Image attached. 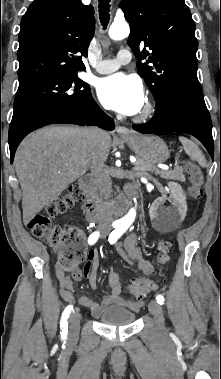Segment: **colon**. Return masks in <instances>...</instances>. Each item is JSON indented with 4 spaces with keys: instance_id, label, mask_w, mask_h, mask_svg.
<instances>
[{
    "instance_id": "obj_1",
    "label": "colon",
    "mask_w": 221,
    "mask_h": 379,
    "mask_svg": "<svg viewBox=\"0 0 221 379\" xmlns=\"http://www.w3.org/2000/svg\"><path fill=\"white\" fill-rule=\"evenodd\" d=\"M184 171L190 182V197L193 200H199L203 195L204 175L202 170L194 163L185 162ZM86 199L85 190L78 184L72 185L66 194L49 204L28 223V228L35 237L47 240L59 249L58 268L63 271L74 270L80 262L88 257L85 237L77 227L53 224L51 218L66 214L77 203H83ZM171 245L172 242L169 238L159 241L156 251L157 259L161 264L168 263ZM157 288L158 282L147 278H136L130 285L132 294L138 299H142Z\"/></svg>"
}]
</instances>
